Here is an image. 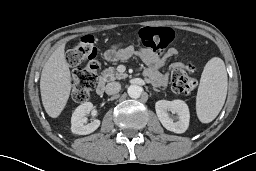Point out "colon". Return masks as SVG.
<instances>
[{"instance_id":"colon-1","label":"colon","mask_w":256,"mask_h":171,"mask_svg":"<svg viewBox=\"0 0 256 171\" xmlns=\"http://www.w3.org/2000/svg\"><path fill=\"white\" fill-rule=\"evenodd\" d=\"M172 40L173 30L169 27H143L138 32L137 43L141 48L162 54ZM97 55L98 48L92 35L82 36L67 54L68 62L74 67L71 98L76 103L87 101L97 84ZM194 71L195 67L187 61L174 64L170 74L173 89L182 94L192 92L196 86V81L191 76Z\"/></svg>"}]
</instances>
